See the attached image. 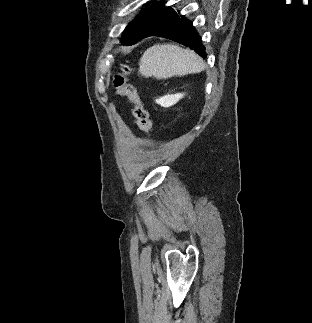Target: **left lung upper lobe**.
<instances>
[{
    "label": "left lung upper lobe",
    "instance_id": "5c2ea615",
    "mask_svg": "<svg viewBox=\"0 0 312 323\" xmlns=\"http://www.w3.org/2000/svg\"><path fill=\"white\" fill-rule=\"evenodd\" d=\"M171 7H164L163 2H154L147 6L123 31L121 42L132 44L144 38L152 27L165 18L171 11Z\"/></svg>",
    "mask_w": 312,
    "mask_h": 323
}]
</instances>
